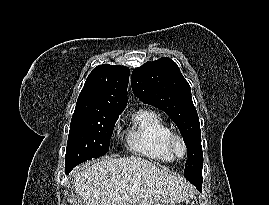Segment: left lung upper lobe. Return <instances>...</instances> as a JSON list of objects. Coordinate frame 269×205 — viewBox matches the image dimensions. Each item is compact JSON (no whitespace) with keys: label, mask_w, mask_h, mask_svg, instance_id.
<instances>
[{"label":"left lung upper lobe","mask_w":269,"mask_h":205,"mask_svg":"<svg viewBox=\"0 0 269 205\" xmlns=\"http://www.w3.org/2000/svg\"><path fill=\"white\" fill-rule=\"evenodd\" d=\"M131 85L136 97L166 112L179 128L188 149L184 175L195 184L203 167L200 123L191 88L179 67L168 57L146 62L133 70Z\"/></svg>","instance_id":"1"}]
</instances>
